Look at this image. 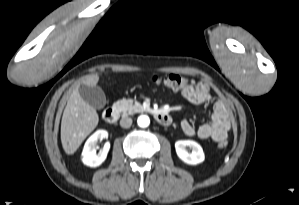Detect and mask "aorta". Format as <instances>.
<instances>
[{"label": "aorta", "mask_w": 299, "mask_h": 205, "mask_svg": "<svg viewBox=\"0 0 299 205\" xmlns=\"http://www.w3.org/2000/svg\"><path fill=\"white\" fill-rule=\"evenodd\" d=\"M137 123L140 127H147L150 124V119L147 115H141L138 117Z\"/></svg>", "instance_id": "obj_1"}]
</instances>
